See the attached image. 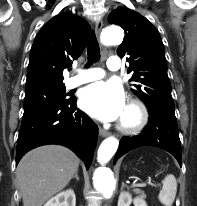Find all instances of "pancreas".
<instances>
[{
	"label": "pancreas",
	"mask_w": 197,
	"mask_h": 206,
	"mask_svg": "<svg viewBox=\"0 0 197 206\" xmlns=\"http://www.w3.org/2000/svg\"><path fill=\"white\" fill-rule=\"evenodd\" d=\"M133 192L136 193V194H140V196H141L142 198H145V197H146L144 191H142V190H140V189L135 188V189H133Z\"/></svg>",
	"instance_id": "1"
}]
</instances>
